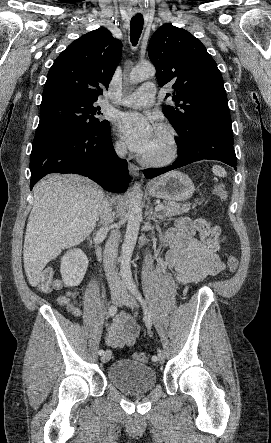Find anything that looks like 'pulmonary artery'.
Masks as SVG:
<instances>
[{
  "label": "pulmonary artery",
  "mask_w": 271,
  "mask_h": 443,
  "mask_svg": "<svg viewBox=\"0 0 271 443\" xmlns=\"http://www.w3.org/2000/svg\"><path fill=\"white\" fill-rule=\"evenodd\" d=\"M156 88L152 83H145L134 92L123 96L118 103L133 108H143L152 105Z\"/></svg>",
  "instance_id": "1"
}]
</instances>
